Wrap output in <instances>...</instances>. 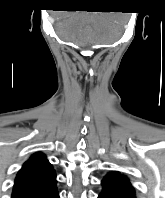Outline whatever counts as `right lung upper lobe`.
Listing matches in <instances>:
<instances>
[{
  "label": "right lung upper lobe",
  "instance_id": "cb5924a9",
  "mask_svg": "<svg viewBox=\"0 0 165 198\" xmlns=\"http://www.w3.org/2000/svg\"><path fill=\"white\" fill-rule=\"evenodd\" d=\"M56 174L41 153L33 154L17 174L11 198H37L56 187Z\"/></svg>",
  "mask_w": 165,
  "mask_h": 198
}]
</instances>
